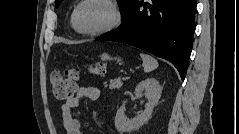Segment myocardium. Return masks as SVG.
<instances>
[{"instance_id":"myocardium-1","label":"myocardium","mask_w":239,"mask_h":134,"mask_svg":"<svg viewBox=\"0 0 239 134\" xmlns=\"http://www.w3.org/2000/svg\"><path fill=\"white\" fill-rule=\"evenodd\" d=\"M89 2H99L104 4L105 6H107L111 12V20L110 22L103 28L99 29V30H95V31H83L81 30L76 22L77 19V15L79 10L81 9V7L83 5H85L86 3ZM120 19H121V15L120 12L117 8V6L115 5V3L111 0H83L80 1L77 6L75 7L73 13H72V17H71V23L73 28L75 29V31L81 35L84 36H91V37H95V36H100L103 35L105 33H108L110 31H112L113 29H115L119 23H120Z\"/></svg>"}]
</instances>
